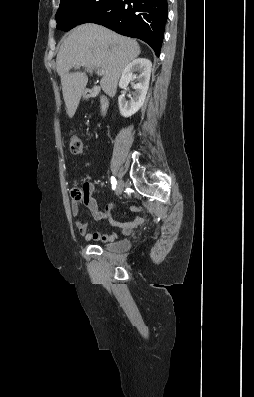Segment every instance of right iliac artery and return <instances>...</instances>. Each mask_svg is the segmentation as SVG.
Masks as SVG:
<instances>
[{"label":"right iliac artery","mask_w":254,"mask_h":397,"mask_svg":"<svg viewBox=\"0 0 254 397\" xmlns=\"http://www.w3.org/2000/svg\"><path fill=\"white\" fill-rule=\"evenodd\" d=\"M111 184H112V188L115 189L117 181H116V179L114 177H111Z\"/></svg>","instance_id":"82829eb1"}]
</instances>
